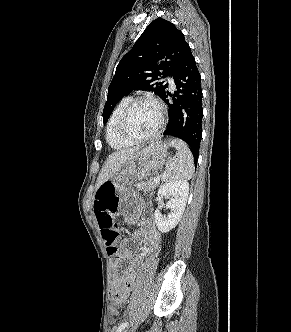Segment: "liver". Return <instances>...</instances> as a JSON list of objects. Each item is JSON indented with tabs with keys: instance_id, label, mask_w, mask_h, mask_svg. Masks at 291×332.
<instances>
[{
	"instance_id": "liver-1",
	"label": "liver",
	"mask_w": 291,
	"mask_h": 332,
	"mask_svg": "<svg viewBox=\"0 0 291 332\" xmlns=\"http://www.w3.org/2000/svg\"><path fill=\"white\" fill-rule=\"evenodd\" d=\"M141 149V147L128 148L119 150L112 153L103 165L96 183V187L99 188L103 183L110 180L115 173L121 170L127 160Z\"/></svg>"
}]
</instances>
